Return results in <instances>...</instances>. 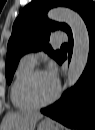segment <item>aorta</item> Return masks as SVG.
I'll use <instances>...</instances> for the list:
<instances>
[{
  "mask_svg": "<svg viewBox=\"0 0 95 130\" xmlns=\"http://www.w3.org/2000/svg\"><path fill=\"white\" fill-rule=\"evenodd\" d=\"M48 18L66 23L73 36V53L67 71L66 86L73 87L81 77L88 61L90 39L86 24L82 17L68 8H54L48 12Z\"/></svg>",
  "mask_w": 95,
  "mask_h": 130,
  "instance_id": "aorta-1",
  "label": "aorta"
}]
</instances>
